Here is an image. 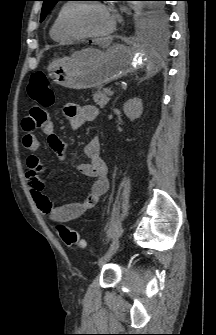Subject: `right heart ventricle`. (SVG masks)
I'll use <instances>...</instances> for the list:
<instances>
[{"label":"right heart ventricle","instance_id":"1","mask_svg":"<svg viewBox=\"0 0 216 335\" xmlns=\"http://www.w3.org/2000/svg\"><path fill=\"white\" fill-rule=\"evenodd\" d=\"M71 6L72 3L69 2L62 4L52 21L49 34L50 37L58 43L66 44L78 39V37L68 33L64 27V18Z\"/></svg>","mask_w":216,"mask_h":335}]
</instances>
